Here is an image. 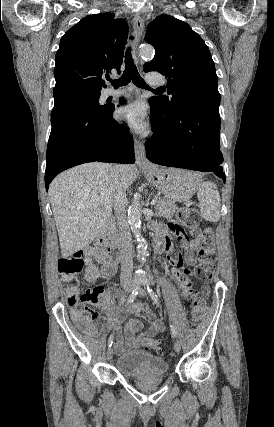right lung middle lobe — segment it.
Here are the masks:
<instances>
[{"mask_svg":"<svg viewBox=\"0 0 274 427\" xmlns=\"http://www.w3.org/2000/svg\"><path fill=\"white\" fill-rule=\"evenodd\" d=\"M99 97H100V93L71 96L65 99L64 101H62L60 104L54 105V108L51 112V118L58 114H61L66 111H69L81 106H85V105L94 106L97 109H102L107 107V106H101L99 104Z\"/></svg>","mask_w":274,"mask_h":427,"instance_id":"right-lung-middle-lobe-1","label":"right lung middle lobe"}]
</instances>
